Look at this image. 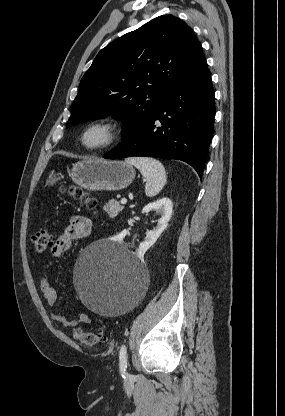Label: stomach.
Returning <instances> with one entry per match:
<instances>
[{"label": "stomach", "instance_id": "stomach-1", "mask_svg": "<svg viewBox=\"0 0 285 416\" xmlns=\"http://www.w3.org/2000/svg\"><path fill=\"white\" fill-rule=\"evenodd\" d=\"M70 176L80 188L89 192H117L132 184L135 170L126 162H107V160H82L74 164ZM57 174L51 172L46 186H55Z\"/></svg>", "mask_w": 285, "mask_h": 416}]
</instances>
